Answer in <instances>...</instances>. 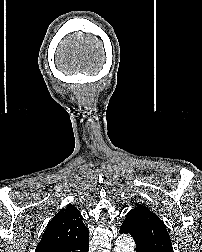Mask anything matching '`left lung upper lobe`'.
Here are the masks:
<instances>
[{
    "label": "left lung upper lobe",
    "mask_w": 202,
    "mask_h": 252,
    "mask_svg": "<svg viewBox=\"0 0 202 252\" xmlns=\"http://www.w3.org/2000/svg\"><path fill=\"white\" fill-rule=\"evenodd\" d=\"M134 238L136 251L174 252L170 236L160 218L143 205L130 210L122 224Z\"/></svg>",
    "instance_id": "5c2ea615"
}]
</instances>
